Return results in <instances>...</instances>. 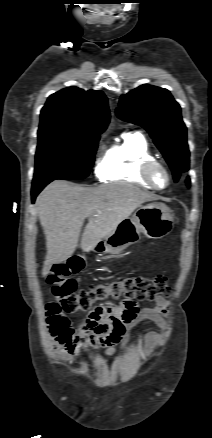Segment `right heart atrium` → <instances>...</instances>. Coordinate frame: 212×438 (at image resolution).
<instances>
[{"mask_svg": "<svg viewBox=\"0 0 212 438\" xmlns=\"http://www.w3.org/2000/svg\"><path fill=\"white\" fill-rule=\"evenodd\" d=\"M104 157H99L96 161V165H95V175L100 178L103 179L104 176Z\"/></svg>", "mask_w": 212, "mask_h": 438, "instance_id": "d8ad5b80", "label": "right heart atrium"}]
</instances>
